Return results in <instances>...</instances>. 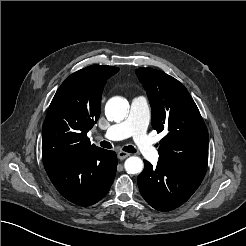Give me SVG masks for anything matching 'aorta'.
Masks as SVG:
<instances>
[{
	"instance_id": "762f6f07",
	"label": "aorta",
	"mask_w": 246,
	"mask_h": 246,
	"mask_svg": "<svg viewBox=\"0 0 246 246\" xmlns=\"http://www.w3.org/2000/svg\"><path fill=\"white\" fill-rule=\"evenodd\" d=\"M129 111V104L126 99L114 97L110 99L105 106V113L109 120L121 121ZM125 170L128 174H139L142 172L144 164L141 158L131 156L124 163Z\"/></svg>"
}]
</instances>
